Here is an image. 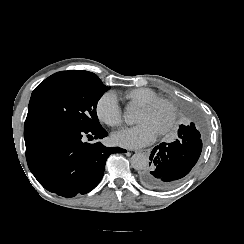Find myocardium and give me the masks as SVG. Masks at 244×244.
<instances>
[{
	"label": "myocardium",
	"mask_w": 244,
	"mask_h": 244,
	"mask_svg": "<svg viewBox=\"0 0 244 244\" xmlns=\"http://www.w3.org/2000/svg\"><path fill=\"white\" fill-rule=\"evenodd\" d=\"M163 100L159 97H157L156 99H154L152 102L150 101L149 103L146 104H142L140 106H138L139 108H141L142 110L145 111H149V110H154L157 109L159 105H163L164 107H166L165 109L168 111L170 118V122L167 126V128L161 133L162 135L166 134L172 126V121L175 119L174 117V105L169 101H167L166 99L162 102ZM168 102V103H167ZM169 106V107H168Z\"/></svg>",
	"instance_id": "f54148a6"
}]
</instances>
